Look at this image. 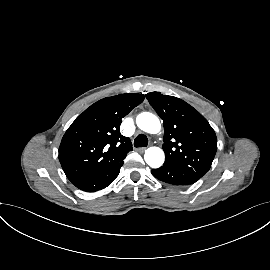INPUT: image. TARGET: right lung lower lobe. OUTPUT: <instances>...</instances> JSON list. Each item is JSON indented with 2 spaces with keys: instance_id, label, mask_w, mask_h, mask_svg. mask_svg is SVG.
<instances>
[{
  "instance_id": "obj_1",
  "label": "right lung lower lobe",
  "mask_w": 270,
  "mask_h": 270,
  "mask_svg": "<svg viewBox=\"0 0 270 270\" xmlns=\"http://www.w3.org/2000/svg\"><path fill=\"white\" fill-rule=\"evenodd\" d=\"M122 165L123 163L113 170L84 177L75 180L72 183L77 188L87 192H95L97 190H101L110 185L115 180L120 172Z\"/></svg>"
}]
</instances>
